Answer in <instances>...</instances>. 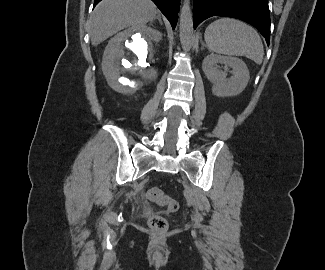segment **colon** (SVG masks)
<instances>
[{
  "label": "colon",
  "instance_id": "5ec220e1",
  "mask_svg": "<svg viewBox=\"0 0 325 270\" xmlns=\"http://www.w3.org/2000/svg\"><path fill=\"white\" fill-rule=\"evenodd\" d=\"M147 197L158 205L165 207L169 213H174L179 209V203L157 187L150 188L147 191ZM148 225L153 230L164 231L168 227V221L162 216L153 215L149 218Z\"/></svg>",
  "mask_w": 325,
  "mask_h": 270
}]
</instances>
